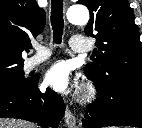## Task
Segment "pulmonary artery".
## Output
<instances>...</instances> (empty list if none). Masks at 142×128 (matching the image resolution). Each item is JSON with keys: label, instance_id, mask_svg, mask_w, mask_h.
I'll return each instance as SVG.
<instances>
[{"label": "pulmonary artery", "instance_id": "1", "mask_svg": "<svg viewBox=\"0 0 142 128\" xmlns=\"http://www.w3.org/2000/svg\"><path fill=\"white\" fill-rule=\"evenodd\" d=\"M70 48L71 51H73L74 53H81V54L88 52L90 49L87 40L84 37L77 35L73 36L70 39ZM36 50L37 53L33 57L26 60L25 62L24 67L27 71L32 70L38 65H40L42 62L47 60L51 54L50 51L43 46H37Z\"/></svg>", "mask_w": 142, "mask_h": 128}]
</instances>
